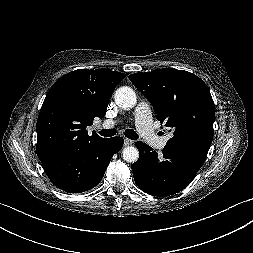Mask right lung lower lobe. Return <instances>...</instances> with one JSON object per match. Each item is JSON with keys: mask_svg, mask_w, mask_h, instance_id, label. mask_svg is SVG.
Listing matches in <instances>:
<instances>
[{"mask_svg": "<svg viewBox=\"0 0 253 253\" xmlns=\"http://www.w3.org/2000/svg\"><path fill=\"white\" fill-rule=\"evenodd\" d=\"M121 137L104 138L83 148H71L40 160L51 182L69 193L97 186L112 159L123 146Z\"/></svg>", "mask_w": 253, "mask_h": 253, "instance_id": "98d812e1", "label": "right lung lower lobe"}]
</instances>
